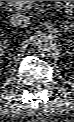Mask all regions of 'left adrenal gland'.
<instances>
[{"mask_svg":"<svg viewBox=\"0 0 74 122\" xmlns=\"http://www.w3.org/2000/svg\"><path fill=\"white\" fill-rule=\"evenodd\" d=\"M61 27H62L65 31H67V30L69 29V26H68L67 24H63Z\"/></svg>","mask_w":74,"mask_h":122,"instance_id":"obj_1","label":"left adrenal gland"}]
</instances>
